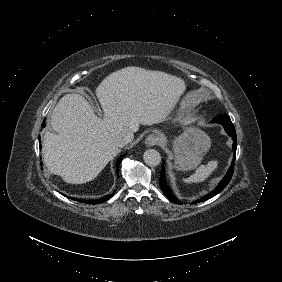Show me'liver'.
Here are the masks:
<instances>
[{"label":"liver","mask_w":282,"mask_h":282,"mask_svg":"<svg viewBox=\"0 0 282 282\" xmlns=\"http://www.w3.org/2000/svg\"><path fill=\"white\" fill-rule=\"evenodd\" d=\"M186 89L184 80L162 71L126 67L111 73L96 88L104 111L97 117L80 94L63 96L44 135L43 160L67 183L93 180L118 153L114 136L122 129L163 122Z\"/></svg>","instance_id":"obj_1"}]
</instances>
